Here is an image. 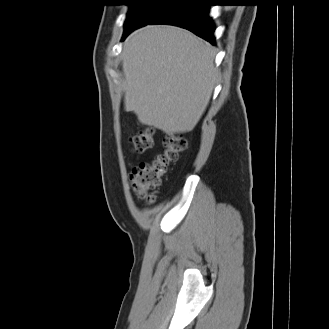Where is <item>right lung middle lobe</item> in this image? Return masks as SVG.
<instances>
[{
	"label": "right lung middle lobe",
	"instance_id": "obj_1",
	"mask_svg": "<svg viewBox=\"0 0 329 329\" xmlns=\"http://www.w3.org/2000/svg\"><path fill=\"white\" fill-rule=\"evenodd\" d=\"M131 2L129 12L125 20L124 36L134 29L147 25L165 7L178 0H128Z\"/></svg>",
	"mask_w": 329,
	"mask_h": 329
}]
</instances>
